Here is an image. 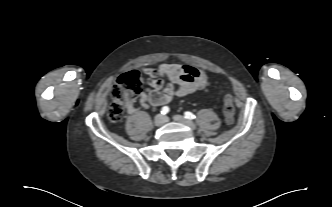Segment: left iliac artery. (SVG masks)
I'll list each match as a JSON object with an SVG mask.
<instances>
[{"mask_svg":"<svg viewBox=\"0 0 332 207\" xmlns=\"http://www.w3.org/2000/svg\"><path fill=\"white\" fill-rule=\"evenodd\" d=\"M184 116L187 119H194L195 118V115L193 113L189 112V111L184 112Z\"/></svg>","mask_w":332,"mask_h":207,"instance_id":"obj_1","label":"left iliac artery"}]
</instances>
